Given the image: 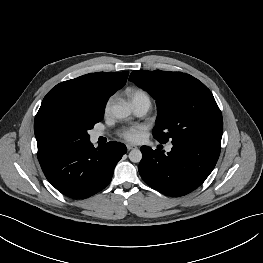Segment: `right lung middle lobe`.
Instances as JSON below:
<instances>
[{"label": "right lung middle lobe", "instance_id": "obj_1", "mask_svg": "<svg viewBox=\"0 0 263 263\" xmlns=\"http://www.w3.org/2000/svg\"><path fill=\"white\" fill-rule=\"evenodd\" d=\"M104 106H83L73 110L57 109L41 116L34 124L38 160L77 144L89 141V129L103 118Z\"/></svg>", "mask_w": 263, "mask_h": 263}]
</instances>
